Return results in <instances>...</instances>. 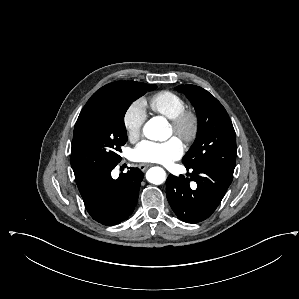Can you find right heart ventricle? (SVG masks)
Wrapping results in <instances>:
<instances>
[{
  "mask_svg": "<svg viewBox=\"0 0 299 299\" xmlns=\"http://www.w3.org/2000/svg\"><path fill=\"white\" fill-rule=\"evenodd\" d=\"M148 105L151 110L170 120L186 108L184 99L170 90H163L152 95L148 100Z\"/></svg>",
  "mask_w": 299,
  "mask_h": 299,
  "instance_id": "right-heart-ventricle-1",
  "label": "right heart ventricle"
}]
</instances>
